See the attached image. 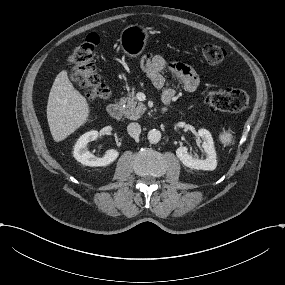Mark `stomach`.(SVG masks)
I'll use <instances>...</instances> for the list:
<instances>
[{
    "instance_id": "1",
    "label": "stomach",
    "mask_w": 285,
    "mask_h": 285,
    "mask_svg": "<svg viewBox=\"0 0 285 285\" xmlns=\"http://www.w3.org/2000/svg\"><path fill=\"white\" fill-rule=\"evenodd\" d=\"M148 31L140 25H129L120 34V45L128 56L136 57L146 46Z\"/></svg>"
}]
</instances>
